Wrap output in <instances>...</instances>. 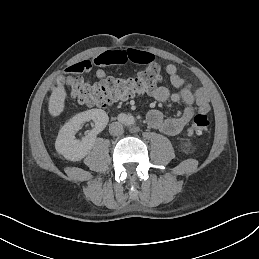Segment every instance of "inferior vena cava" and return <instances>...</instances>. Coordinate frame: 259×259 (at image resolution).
<instances>
[{"instance_id":"602c4592","label":"inferior vena cava","mask_w":259,"mask_h":259,"mask_svg":"<svg viewBox=\"0 0 259 259\" xmlns=\"http://www.w3.org/2000/svg\"><path fill=\"white\" fill-rule=\"evenodd\" d=\"M109 132L113 136H118L123 133V126L119 122H113L110 124Z\"/></svg>"}]
</instances>
